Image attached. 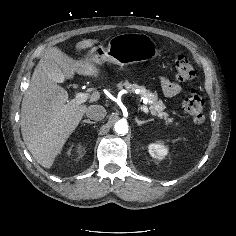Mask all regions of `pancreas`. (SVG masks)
<instances>
[{"label":"pancreas","mask_w":236,"mask_h":236,"mask_svg":"<svg viewBox=\"0 0 236 236\" xmlns=\"http://www.w3.org/2000/svg\"><path fill=\"white\" fill-rule=\"evenodd\" d=\"M118 88L121 89L123 86L130 92H135L136 89H139V96L145 97L148 99L149 102V110L152 115L157 116L160 119H163L166 124L172 123L173 118H169V114L164 111L166 106L162 102V100L158 99L156 93H152L149 90H147L144 86H140L136 83L131 84L128 81H125L124 83H119ZM176 126L179 124L176 123Z\"/></svg>","instance_id":"cf45deb5"}]
</instances>
